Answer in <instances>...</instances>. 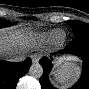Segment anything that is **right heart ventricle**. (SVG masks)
Returning a JSON list of instances; mask_svg holds the SVG:
<instances>
[{"label":"right heart ventricle","mask_w":89,"mask_h":89,"mask_svg":"<svg viewBox=\"0 0 89 89\" xmlns=\"http://www.w3.org/2000/svg\"><path fill=\"white\" fill-rule=\"evenodd\" d=\"M63 37H64L63 31L57 29V30H53L47 33L44 36V39L47 42L56 43V42H60L63 39Z\"/></svg>","instance_id":"obj_1"}]
</instances>
